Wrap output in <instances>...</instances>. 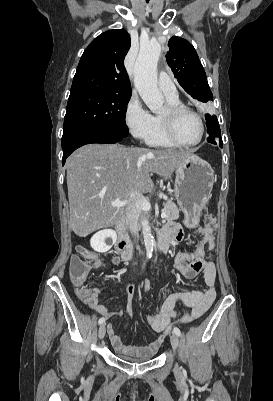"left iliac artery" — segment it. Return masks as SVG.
Returning a JSON list of instances; mask_svg holds the SVG:
<instances>
[{
  "instance_id": "1",
  "label": "left iliac artery",
  "mask_w": 273,
  "mask_h": 401,
  "mask_svg": "<svg viewBox=\"0 0 273 401\" xmlns=\"http://www.w3.org/2000/svg\"><path fill=\"white\" fill-rule=\"evenodd\" d=\"M173 332L177 335V336H181V332L179 330V328L175 327Z\"/></svg>"
}]
</instances>
